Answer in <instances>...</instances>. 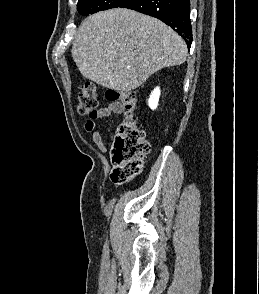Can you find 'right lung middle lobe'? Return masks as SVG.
<instances>
[{
    "mask_svg": "<svg viewBox=\"0 0 259 294\" xmlns=\"http://www.w3.org/2000/svg\"><path fill=\"white\" fill-rule=\"evenodd\" d=\"M128 0H79L77 10L82 15L93 14L101 10L116 8Z\"/></svg>",
    "mask_w": 259,
    "mask_h": 294,
    "instance_id": "right-lung-middle-lobe-1",
    "label": "right lung middle lobe"
}]
</instances>
